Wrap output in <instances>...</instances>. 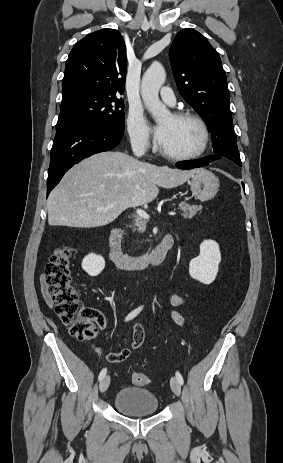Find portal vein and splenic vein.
<instances>
[{
  "instance_id": "portal-vein-and-splenic-vein-1",
  "label": "portal vein and splenic vein",
  "mask_w": 283,
  "mask_h": 463,
  "mask_svg": "<svg viewBox=\"0 0 283 463\" xmlns=\"http://www.w3.org/2000/svg\"><path fill=\"white\" fill-rule=\"evenodd\" d=\"M136 212L140 217H142L144 219H149L150 218V216L147 214V212L142 210V209H137ZM168 214L169 215H175L176 213L175 212H169Z\"/></svg>"
}]
</instances>
